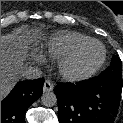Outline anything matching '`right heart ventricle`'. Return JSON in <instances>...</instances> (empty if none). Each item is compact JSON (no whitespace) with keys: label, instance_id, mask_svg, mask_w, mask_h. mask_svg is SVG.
<instances>
[{"label":"right heart ventricle","instance_id":"obj_1","mask_svg":"<svg viewBox=\"0 0 123 123\" xmlns=\"http://www.w3.org/2000/svg\"><path fill=\"white\" fill-rule=\"evenodd\" d=\"M88 40L89 37L77 32H60L49 37L42 47V52L53 59H60Z\"/></svg>","mask_w":123,"mask_h":123}]
</instances>
